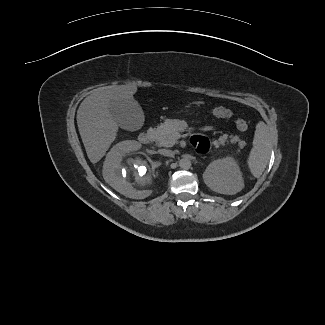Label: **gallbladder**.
I'll list each match as a JSON object with an SVG mask.
<instances>
[{"mask_svg": "<svg viewBox=\"0 0 325 325\" xmlns=\"http://www.w3.org/2000/svg\"><path fill=\"white\" fill-rule=\"evenodd\" d=\"M109 112L116 123L125 130H138L144 123L143 110L134 100H113L110 102Z\"/></svg>", "mask_w": 325, "mask_h": 325, "instance_id": "1", "label": "gallbladder"}]
</instances>
